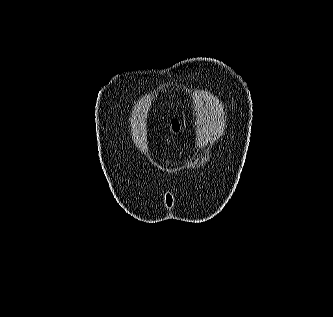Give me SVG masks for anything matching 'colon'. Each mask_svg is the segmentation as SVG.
Wrapping results in <instances>:
<instances>
[{
	"mask_svg": "<svg viewBox=\"0 0 333 317\" xmlns=\"http://www.w3.org/2000/svg\"><path fill=\"white\" fill-rule=\"evenodd\" d=\"M172 130L178 132L180 130V123L177 120L172 121Z\"/></svg>",
	"mask_w": 333,
	"mask_h": 317,
	"instance_id": "5ec220e1",
	"label": "colon"
}]
</instances>
